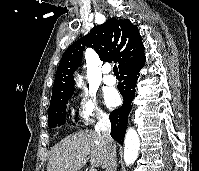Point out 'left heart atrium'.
I'll return each instance as SVG.
<instances>
[{
    "label": "left heart atrium",
    "mask_w": 199,
    "mask_h": 171,
    "mask_svg": "<svg viewBox=\"0 0 199 171\" xmlns=\"http://www.w3.org/2000/svg\"><path fill=\"white\" fill-rule=\"evenodd\" d=\"M104 100L108 107H115L119 104L120 97L116 91L111 90L105 94Z\"/></svg>",
    "instance_id": "obj_1"
}]
</instances>
